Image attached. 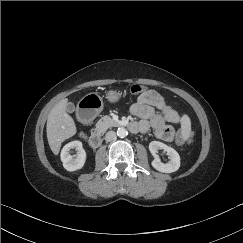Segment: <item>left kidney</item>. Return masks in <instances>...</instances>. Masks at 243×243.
Wrapping results in <instances>:
<instances>
[{
  "instance_id": "obj_1",
  "label": "left kidney",
  "mask_w": 243,
  "mask_h": 243,
  "mask_svg": "<svg viewBox=\"0 0 243 243\" xmlns=\"http://www.w3.org/2000/svg\"><path fill=\"white\" fill-rule=\"evenodd\" d=\"M149 150L154 156V160L152 161V166L163 173H172L179 169L180 167V156L176 150L167 146L166 144L159 141H152L149 144ZM158 150H164L167 152L170 161L168 163H162L160 158L157 156Z\"/></svg>"
}]
</instances>
